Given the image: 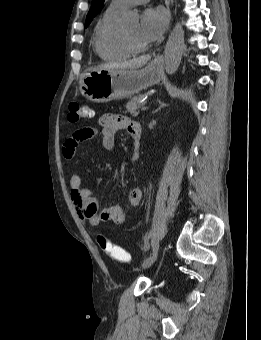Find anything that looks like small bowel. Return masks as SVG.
Here are the masks:
<instances>
[{"mask_svg":"<svg viewBox=\"0 0 261 340\" xmlns=\"http://www.w3.org/2000/svg\"><path fill=\"white\" fill-rule=\"evenodd\" d=\"M99 129L95 127H83L76 130L66 140L62 147V153L66 159H72L80 142L101 136V144L106 150H112L115 145V135L118 130L126 129L133 140V160L137 161L140 151L141 128L140 125L128 117L103 114L98 119ZM71 200L80 219L90 226H97L101 222H113L120 225L125 221L126 209L115 205L99 209V203L92 189L83 186L79 174H73L70 179ZM142 198L140 188H134L129 194V203L137 207Z\"/></svg>","mask_w":261,"mask_h":340,"instance_id":"obj_1","label":"small bowel"}]
</instances>
